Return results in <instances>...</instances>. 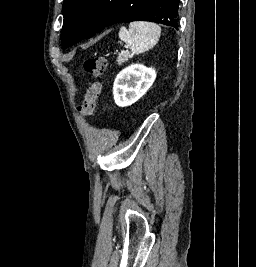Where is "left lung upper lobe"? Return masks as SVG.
<instances>
[{
    "label": "left lung upper lobe",
    "mask_w": 256,
    "mask_h": 267,
    "mask_svg": "<svg viewBox=\"0 0 256 267\" xmlns=\"http://www.w3.org/2000/svg\"><path fill=\"white\" fill-rule=\"evenodd\" d=\"M64 48L117 22L152 21L178 29L175 0H64Z\"/></svg>",
    "instance_id": "1"
}]
</instances>
